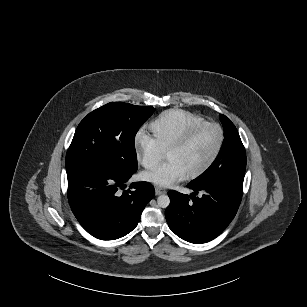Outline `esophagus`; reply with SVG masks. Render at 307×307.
Listing matches in <instances>:
<instances>
[{
    "label": "esophagus",
    "instance_id": "34e87169",
    "mask_svg": "<svg viewBox=\"0 0 307 307\" xmlns=\"http://www.w3.org/2000/svg\"><path fill=\"white\" fill-rule=\"evenodd\" d=\"M155 194H156V195L166 194V190L161 189V188H159V187H156V188H155Z\"/></svg>",
    "mask_w": 307,
    "mask_h": 307
}]
</instances>
